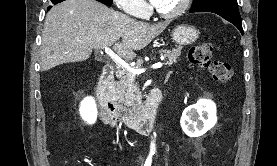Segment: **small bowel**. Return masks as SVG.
Returning a JSON list of instances; mask_svg holds the SVG:
<instances>
[{"label":"small bowel","instance_id":"c3829d8e","mask_svg":"<svg viewBox=\"0 0 277 166\" xmlns=\"http://www.w3.org/2000/svg\"><path fill=\"white\" fill-rule=\"evenodd\" d=\"M101 119H102V118H101ZM102 121H103L105 124H107V125L109 124L108 122H106V121H105V120H103V119H102Z\"/></svg>","mask_w":277,"mask_h":166}]
</instances>
